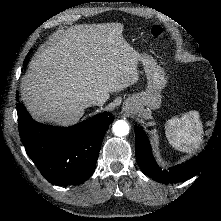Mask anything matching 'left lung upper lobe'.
<instances>
[{"instance_id": "5c2ea615", "label": "left lung upper lobe", "mask_w": 221, "mask_h": 221, "mask_svg": "<svg viewBox=\"0 0 221 221\" xmlns=\"http://www.w3.org/2000/svg\"><path fill=\"white\" fill-rule=\"evenodd\" d=\"M199 50L201 51V53H203V51H202V49H201V48H200Z\"/></svg>"}]
</instances>
